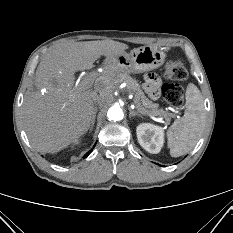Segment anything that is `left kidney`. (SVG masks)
<instances>
[{"instance_id":"1","label":"left kidney","mask_w":233,"mask_h":233,"mask_svg":"<svg viewBox=\"0 0 233 233\" xmlns=\"http://www.w3.org/2000/svg\"><path fill=\"white\" fill-rule=\"evenodd\" d=\"M139 144L149 153L160 152L164 143V131L161 127L142 123L136 129Z\"/></svg>"}]
</instances>
